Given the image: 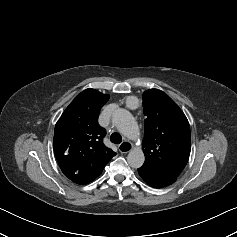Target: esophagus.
I'll return each instance as SVG.
<instances>
[{
	"mask_svg": "<svg viewBox=\"0 0 237 237\" xmlns=\"http://www.w3.org/2000/svg\"><path fill=\"white\" fill-rule=\"evenodd\" d=\"M118 148L121 153H128L132 150V144L128 141H124L118 146Z\"/></svg>",
	"mask_w": 237,
	"mask_h": 237,
	"instance_id": "1",
	"label": "esophagus"
}]
</instances>
